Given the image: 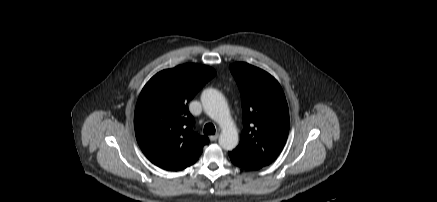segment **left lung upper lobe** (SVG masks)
Returning <instances> with one entry per match:
<instances>
[{
	"label": "left lung upper lobe",
	"instance_id": "1",
	"mask_svg": "<svg viewBox=\"0 0 437 202\" xmlns=\"http://www.w3.org/2000/svg\"><path fill=\"white\" fill-rule=\"evenodd\" d=\"M240 90L243 130L232 153L263 167L282 151L289 132V111L278 81L266 71L247 63L230 65Z\"/></svg>",
	"mask_w": 437,
	"mask_h": 202
}]
</instances>
